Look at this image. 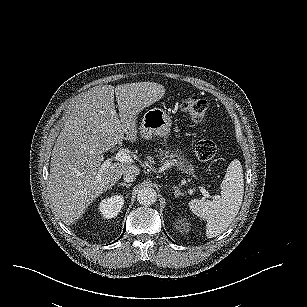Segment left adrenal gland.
Returning a JSON list of instances; mask_svg holds the SVG:
<instances>
[{
  "instance_id": "1",
  "label": "left adrenal gland",
  "mask_w": 307,
  "mask_h": 307,
  "mask_svg": "<svg viewBox=\"0 0 307 307\" xmlns=\"http://www.w3.org/2000/svg\"><path fill=\"white\" fill-rule=\"evenodd\" d=\"M174 189V196L177 198L178 196H184V193L181 192L180 188L178 186L173 185Z\"/></svg>"
}]
</instances>
